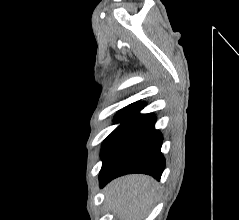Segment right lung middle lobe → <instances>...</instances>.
<instances>
[{
	"label": "right lung middle lobe",
	"mask_w": 239,
	"mask_h": 220,
	"mask_svg": "<svg viewBox=\"0 0 239 220\" xmlns=\"http://www.w3.org/2000/svg\"><path fill=\"white\" fill-rule=\"evenodd\" d=\"M131 108H126L123 109L120 113H118L115 117L116 123H121L123 122L127 115L129 114ZM120 127V126H119ZM119 127H117L105 140L102 146V152H101V156H103V154L105 153L107 147L109 146L110 142L112 141V139L114 138L117 130L119 129Z\"/></svg>",
	"instance_id": "dd1d6c3e"
}]
</instances>
